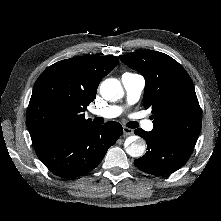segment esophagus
Masks as SVG:
<instances>
[{"label":"esophagus","mask_w":221,"mask_h":221,"mask_svg":"<svg viewBox=\"0 0 221 221\" xmlns=\"http://www.w3.org/2000/svg\"><path fill=\"white\" fill-rule=\"evenodd\" d=\"M123 134H124V136L132 135L133 130L128 127H123Z\"/></svg>","instance_id":"esophagus-1"}]
</instances>
